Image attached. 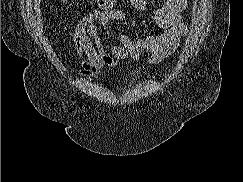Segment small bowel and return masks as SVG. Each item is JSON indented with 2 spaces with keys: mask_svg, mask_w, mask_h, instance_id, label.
Here are the masks:
<instances>
[{
  "mask_svg": "<svg viewBox=\"0 0 243 182\" xmlns=\"http://www.w3.org/2000/svg\"><path fill=\"white\" fill-rule=\"evenodd\" d=\"M136 9L145 8L146 0H130ZM156 2V0H153ZM188 7V0H164L152 13L156 26L163 32L133 40L128 34L118 36L120 44H106L100 27L123 20L120 10H93L77 23L72 35L76 56L80 61L79 74L93 78L105 68L118 67L125 59L157 64L169 57L187 34L182 13ZM150 53L148 57L143 52Z\"/></svg>",
  "mask_w": 243,
  "mask_h": 182,
  "instance_id": "small-bowel-1",
  "label": "small bowel"
}]
</instances>
